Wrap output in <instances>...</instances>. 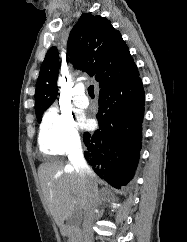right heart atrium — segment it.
Here are the masks:
<instances>
[{"mask_svg": "<svg viewBox=\"0 0 187 242\" xmlns=\"http://www.w3.org/2000/svg\"><path fill=\"white\" fill-rule=\"evenodd\" d=\"M39 144L43 152L63 155L80 146V138L71 114L51 107L45 113L40 126Z\"/></svg>", "mask_w": 187, "mask_h": 242, "instance_id": "d8ad5b80", "label": "right heart atrium"}]
</instances>
